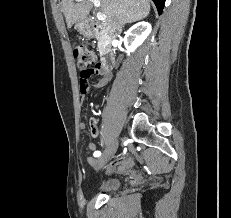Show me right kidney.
<instances>
[{
	"label": "right kidney",
	"mask_w": 231,
	"mask_h": 218,
	"mask_svg": "<svg viewBox=\"0 0 231 218\" xmlns=\"http://www.w3.org/2000/svg\"><path fill=\"white\" fill-rule=\"evenodd\" d=\"M151 25L148 22H138L125 33L124 45L128 52H134L151 32Z\"/></svg>",
	"instance_id": "1"
}]
</instances>
